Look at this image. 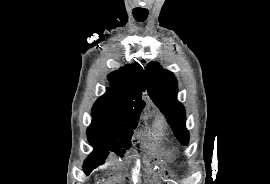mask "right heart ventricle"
<instances>
[{"instance_id": "e07e8e85", "label": "right heart ventricle", "mask_w": 270, "mask_h": 184, "mask_svg": "<svg viewBox=\"0 0 270 184\" xmlns=\"http://www.w3.org/2000/svg\"><path fill=\"white\" fill-rule=\"evenodd\" d=\"M161 135H162V126H161V124L158 123L156 125V135L155 136L159 137Z\"/></svg>"}]
</instances>
